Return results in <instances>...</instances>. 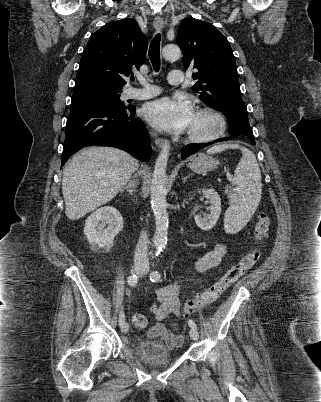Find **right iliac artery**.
Wrapping results in <instances>:
<instances>
[{
  "label": "right iliac artery",
  "mask_w": 321,
  "mask_h": 402,
  "mask_svg": "<svg viewBox=\"0 0 321 402\" xmlns=\"http://www.w3.org/2000/svg\"><path fill=\"white\" fill-rule=\"evenodd\" d=\"M137 281H138V278H137V276L135 274L130 275L128 277V284L130 286H135L137 284ZM124 322H125V315H124V313L122 311H120V313H119V325L122 326Z\"/></svg>",
  "instance_id": "right-iliac-artery-1"
}]
</instances>
